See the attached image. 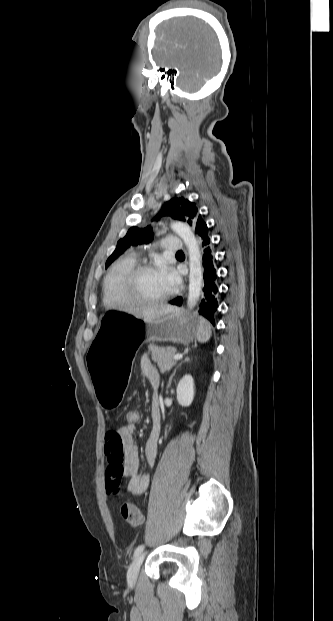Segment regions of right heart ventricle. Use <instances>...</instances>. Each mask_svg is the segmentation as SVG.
I'll list each match as a JSON object with an SVG mask.
<instances>
[{
    "label": "right heart ventricle",
    "instance_id": "obj_1",
    "mask_svg": "<svg viewBox=\"0 0 333 621\" xmlns=\"http://www.w3.org/2000/svg\"><path fill=\"white\" fill-rule=\"evenodd\" d=\"M134 266L135 259L125 257L110 268L102 285V300L106 307L127 305L120 293V283L124 275Z\"/></svg>",
    "mask_w": 333,
    "mask_h": 621
}]
</instances>
